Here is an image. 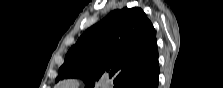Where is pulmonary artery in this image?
I'll list each match as a JSON object with an SVG mask.
<instances>
[{"instance_id": "1", "label": "pulmonary artery", "mask_w": 223, "mask_h": 88, "mask_svg": "<svg viewBox=\"0 0 223 88\" xmlns=\"http://www.w3.org/2000/svg\"><path fill=\"white\" fill-rule=\"evenodd\" d=\"M77 83H78V82H77L76 80H74V79H70V80H68V81L63 82V83L61 84V86H62V87H63V86H76ZM102 83L104 84V87H108V83H107L106 81H103Z\"/></svg>"}]
</instances>
